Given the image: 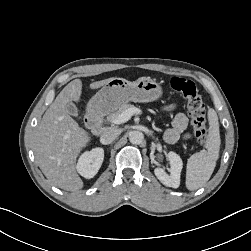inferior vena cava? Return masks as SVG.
Segmentation results:
<instances>
[{
	"instance_id": "inferior-vena-cava-1",
	"label": "inferior vena cava",
	"mask_w": 251,
	"mask_h": 251,
	"mask_svg": "<svg viewBox=\"0 0 251 251\" xmlns=\"http://www.w3.org/2000/svg\"><path fill=\"white\" fill-rule=\"evenodd\" d=\"M120 134V131L117 129H110L105 132L100 137V142L103 145L111 144Z\"/></svg>"
}]
</instances>
